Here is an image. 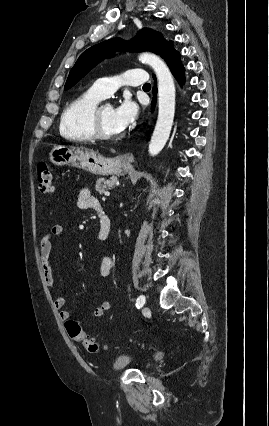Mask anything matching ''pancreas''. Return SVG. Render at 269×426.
<instances>
[{
  "instance_id": "1",
  "label": "pancreas",
  "mask_w": 269,
  "mask_h": 426,
  "mask_svg": "<svg viewBox=\"0 0 269 426\" xmlns=\"http://www.w3.org/2000/svg\"><path fill=\"white\" fill-rule=\"evenodd\" d=\"M117 181L116 177H111L109 179L99 178L96 181L95 189L100 194H103L105 191L112 189Z\"/></svg>"
}]
</instances>
